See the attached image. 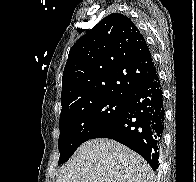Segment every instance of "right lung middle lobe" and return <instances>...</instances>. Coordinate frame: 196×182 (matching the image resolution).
<instances>
[{
  "mask_svg": "<svg viewBox=\"0 0 196 182\" xmlns=\"http://www.w3.org/2000/svg\"><path fill=\"white\" fill-rule=\"evenodd\" d=\"M126 103V98L100 97L61 112L58 165L68 161L83 142L121 113Z\"/></svg>",
  "mask_w": 196,
  "mask_h": 182,
  "instance_id": "1",
  "label": "right lung middle lobe"
}]
</instances>
